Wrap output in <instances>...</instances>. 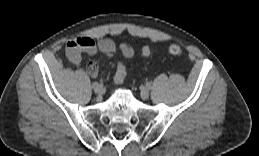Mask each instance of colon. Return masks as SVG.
Returning a JSON list of instances; mask_svg holds the SVG:
<instances>
[{"mask_svg":"<svg viewBox=\"0 0 259 156\" xmlns=\"http://www.w3.org/2000/svg\"><path fill=\"white\" fill-rule=\"evenodd\" d=\"M166 51L170 56H173V57H179L182 54L181 46L174 43L169 44L166 48ZM152 52H153V49L150 45H145L141 49L142 56L146 58L150 57L152 55ZM126 74H127V71H126L125 64L123 62H119L117 64L116 72L114 75V82L117 85L123 84L126 78Z\"/></svg>","mask_w":259,"mask_h":156,"instance_id":"obj_1","label":"colon"}]
</instances>
